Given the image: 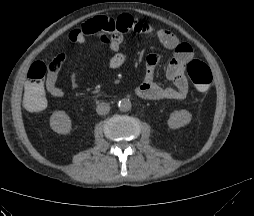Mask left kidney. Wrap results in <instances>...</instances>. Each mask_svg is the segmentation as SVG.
<instances>
[{"mask_svg": "<svg viewBox=\"0 0 254 216\" xmlns=\"http://www.w3.org/2000/svg\"><path fill=\"white\" fill-rule=\"evenodd\" d=\"M192 120V114L185 110H175L170 114L167 124L172 129H178L189 124Z\"/></svg>", "mask_w": 254, "mask_h": 216, "instance_id": "1", "label": "left kidney"}]
</instances>
